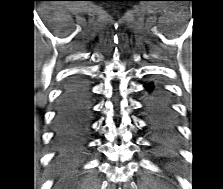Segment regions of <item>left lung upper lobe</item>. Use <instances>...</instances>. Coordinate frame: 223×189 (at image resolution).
<instances>
[{
  "mask_svg": "<svg viewBox=\"0 0 223 189\" xmlns=\"http://www.w3.org/2000/svg\"><path fill=\"white\" fill-rule=\"evenodd\" d=\"M150 127L155 133L156 140L160 145H165L169 142V139L171 138V132L168 129L158 125H150Z\"/></svg>",
  "mask_w": 223,
  "mask_h": 189,
  "instance_id": "1",
  "label": "left lung upper lobe"
}]
</instances>
